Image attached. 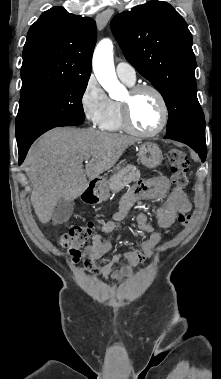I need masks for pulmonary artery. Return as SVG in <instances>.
Returning a JSON list of instances; mask_svg holds the SVG:
<instances>
[{
  "label": "pulmonary artery",
  "instance_id": "e3ab8cb5",
  "mask_svg": "<svg viewBox=\"0 0 221 379\" xmlns=\"http://www.w3.org/2000/svg\"><path fill=\"white\" fill-rule=\"evenodd\" d=\"M116 73L122 81L134 83L136 80V72L132 65L126 62H120L116 66Z\"/></svg>",
  "mask_w": 221,
  "mask_h": 379
}]
</instances>
